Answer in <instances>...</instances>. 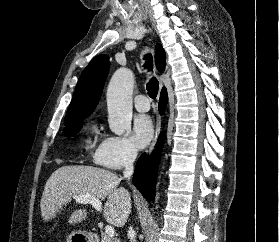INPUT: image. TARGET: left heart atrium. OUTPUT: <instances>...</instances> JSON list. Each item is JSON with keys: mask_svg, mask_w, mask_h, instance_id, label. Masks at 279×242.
Wrapping results in <instances>:
<instances>
[{"mask_svg": "<svg viewBox=\"0 0 279 242\" xmlns=\"http://www.w3.org/2000/svg\"><path fill=\"white\" fill-rule=\"evenodd\" d=\"M154 127L147 115H139L133 123L132 139L138 148L146 147L153 138Z\"/></svg>", "mask_w": 279, "mask_h": 242, "instance_id": "obj_1", "label": "left heart atrium"}]
</instances>
